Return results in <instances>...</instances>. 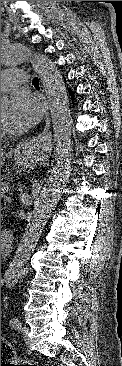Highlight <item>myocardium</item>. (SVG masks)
Masks as SVG:
<instances>
[{"instance_id":"f54148a6","label":"myocardium","mask_w":122,"mask_h":366,"mask_svg":"<svg viewBox=\"0 0 122 366\" xmlns=\"http://www.w3.org/2000/svg\"><path fill=\"white\" fill-rule=\"evenodd\" d=\"M7 135V132L1 129V138L5 137Z\"/></svg>"}]
</instances>
